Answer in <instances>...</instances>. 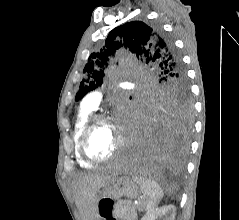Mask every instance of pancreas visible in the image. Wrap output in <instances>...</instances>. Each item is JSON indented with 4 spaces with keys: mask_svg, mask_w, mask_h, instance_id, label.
<instances>
[{
    "mask_svg": "<svg viewBox=\"0 0 239 220\" xmlns=\"http://www.w3.org/2000/svg\"><path fill=\"white\" fill-rule=\"evenodd\" d=\"M112 214L121 220H137L136 207L128 202H116Z\"/></svg>",
    "mask_w": 239,
    "mask_h": 220,
    "instance_id": "1",
    "label": "pancreas"
}]
</instances>
